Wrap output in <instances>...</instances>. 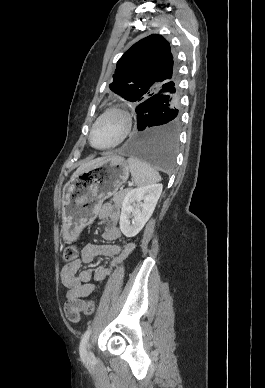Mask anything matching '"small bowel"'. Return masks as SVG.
<instances>
[{
  "label": "small bowel",
  "instance_id": "small-bowel-1",
  "mask_svg": "<svg viewBox=\"0 0 265 388\" xmlns=\"http://www.w3.org/2000/svg\"><path fill=\"white\" fill-rule=\"evenodd\" d=\"M120 208L110 203L103 204L98 210V218L107 222L103 231V239L115 242L120 239L121 232L118 227L120 221ZM134 249L133 243L120 244H86L80 257L71 264H66L60 273L62 284L68 289L64 312L68 320L77 322L80 319L84 301L81 298L91 295L94 291V282L105 280L114 267L119 265ZM97 256H106L112 259L109 267L84 268L82 264L92 262Z\"/></svg>",
  "mask_w": 265,
  "mask_h": 388
}]
</instances>
